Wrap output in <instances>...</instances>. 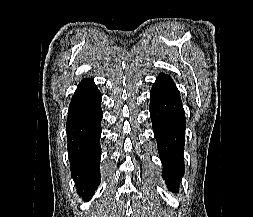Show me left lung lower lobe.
<instances>
[{
  "instance_id": "0a47b994",
  "label": "left lung lower lobe",
  "mask_w": 253,
  "mask_h": 217,
  "mask_svg": "<svg viewBox=\"0 0 253 217\" xmlns=\"http://www.w3.org/2000/svg\"><path fill=\"white\" fill-rule=\"evenodd\" d=\"M150 116L159 155L165 165L163 178L169 189L178 191L184 174L185 113L180 93L168 75H159L153 84Z\"/></svg>"
}]
</instances>
